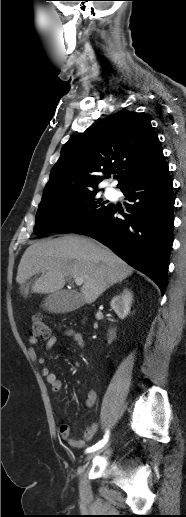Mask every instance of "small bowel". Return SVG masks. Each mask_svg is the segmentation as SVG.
<instances>
[{"label": "small bowel", "mask_w": 186, "mask_h": 517, "mask_svg": "<svg viewBox=\"0 0 186 517\" xmlns=\"http://www.w3.org/2000/svg\"><path fill=\"white\" fill-rule=\"evenodd\" d=\"M64 335L72 340V342L79 348L84 347V338L80 332L73 329H66ZM57 341L55 334H52L46 344L47 349H51ZM31 346L28 348L29 355L35 359L38 363H44L43 357H38L36 354L35 346L37 339L33 336L29 337ZM42 373L45 376L47 382L50 384L53 392H58L62 388V381L59 379L57 374L52 371L49 367H44ZM97 399V393L95 390H89L86 396L85 404L87 407H92ZM98 430V424L96 422H90L86 425L81 439H74L70 436V426L67 423H63L59 427V433L63 440L67 441L68 444L75 448H82L87 442H90L95 433Z\"/></svg>", "instance_id": "1"}]
</instances>
